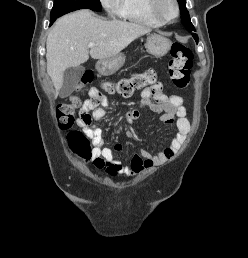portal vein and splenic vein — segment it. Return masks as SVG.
<instances>
[{
	"mask_svg": "<svg viewBox=\"0 0 248 258\" xmlns=\"http://www.w3.org/2000/svg\"><path fill=\"white\" fill-rule=\"evenodd\" d=\"M95 46H96L95 43H89V44H88V47H89V48H93V47H95Z\"/></svg>",
	"mask_w": 248,
	"mask_h": 258,
	"instance_id": "portal-vein-and-splenic-vein-1",
	"label": "portal vein and splenic vein"
}]
</instances>
